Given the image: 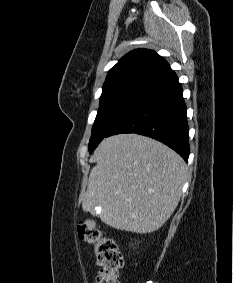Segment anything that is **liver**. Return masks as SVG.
<instances>
[{"label":"liver","instance_id":"obj_1","mask_svg":"<svg viewBox=\"0 0 233 283\" xmlns=\"http://www.w3.org/2000/svg\"><path fill=\"white\" fill-rule=\"evenodd\" d=\"M82 209L101 207L100 219L120 230H158L176 209L187 166L179 154L152 138L119 134L96 148Z\"/></svg>","mask_w":233,"mask_h":283}]
</instances>
